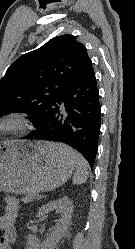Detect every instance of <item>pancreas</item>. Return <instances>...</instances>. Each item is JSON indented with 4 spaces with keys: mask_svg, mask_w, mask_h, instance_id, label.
Returning a JSON list of instances; mask_svg holds the SVG:
<instances>
[{
    "mask_svg": "<svg viewBox=\"0 0 135 249\" xmlns=\"http://www.w3.org/2000/svg\"><path fill=\"white\" fill-rule=\"evenodd\" d=\"M33 198H34V195H32V194L27 195V196H25L24 198H22V202H23V203L32 202V201H33Z\"/></svg>",
    "mask_w": 135,
    "mask_h": 249,
    "instance_id": "pancreas-1",
    "label": "pancreas"
}]
</instances>
